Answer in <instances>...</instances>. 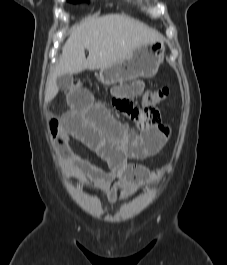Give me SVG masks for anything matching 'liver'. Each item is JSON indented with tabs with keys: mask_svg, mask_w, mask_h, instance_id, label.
Returning a JSON list of instances; mask_svg holds the SVG:
<instances>
[{
	"mask_svg": "<svg viewBox=\"0 0 227 265\" xmlns=\"http://www.w3.org/2000/svg\"><path fill=\"white\" fill-rule=\"evenodd\" d=\"M162 39L157 31L120 14L96 16L81 22L73 28L58 64L48 77L45 102L57 95L58 76L110 67L120 63L138 46ZM85 49L89 51L87 59Z\"/></svg>",
	"mask_w": 227,
	"mask_h": 265,
	"instance_id": "6515ba94",
	"label": "liver"
}]
</instances>
